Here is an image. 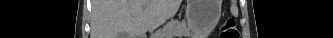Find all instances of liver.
Returning <instances> with one entry per match:
<instances>
[{
    "instance_id": "liver-1",
    "label": "liver",
    "mask_w": 333,
    "mask_h": 38,
    "mask_svg": "<svg viewBox=\"0 0 333 38\" xmlns=\"http://www.w3.org/2000/svg\"><path fill=\"white\" fill-rule=\"evenodd\" d=\"M181 0H93L91 38L141 36L174 16Z\"/></svg>"
}]
</instances>
